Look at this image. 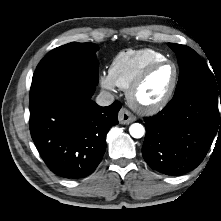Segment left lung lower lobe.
<instances>
[{"mask_svg": "<svg viewBox=\"0 0 221 221\" xmlns=\"http://www.w3.org/2000/svg\"><path fill=\"white\" fill-rule=\"evenodd\" d=\"M144 121L143 157L152 169L171 176L195 169L221 132L218 100L195 90L174 95L161 112Z\"/></svg>", "mask_w": 221, "mask_h": 221, "instance_id": "left-lung-lower-lobe-1", "label": "left lung lower lobe"}]
</instances>
